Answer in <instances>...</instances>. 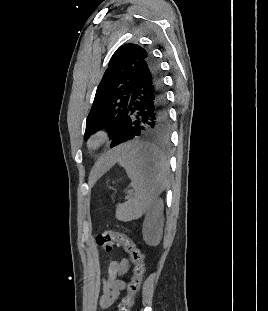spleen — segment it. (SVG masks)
Returning <instances> with one entry per match:
<instances>
[{
	"label": "spleen",
	"instance_id": "obj_1",
	"mask_svg": "<svg viewBox=\"0 0 268 311\" xmlns=\"http://www.w3.org/2000/svg\"><path fill=\"white\" fill-rule=\"evenodd\" d=\"M114 154L133 189L128 201L117 204L116 218L125 222L138 219L167 187L169 163L147 140H123L115 145Z\"/></svg>",
	"mask_w": 268,
	"mask_h": 311
}]
</instances>
